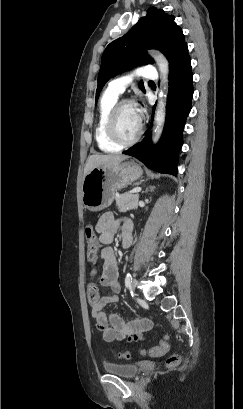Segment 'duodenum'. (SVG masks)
Returning a JSON list of instances; mask_svg holds the SVG:
<instances>
[{"mask_svg":"<svg viewBox=\"0 0 243 409\" xmlns=\"http://www.w3.org/2000/svg\"><path fill=\"white\" fill-rule=\"evenodd\" d=\"M129 238H130L129 233H128V232L124 233V235H123V241H124V242H127V241L129 240Z\"/></svg>","mask_w":243,"mask_h":409,"instance_id":"duodenum-1","label":"duodenum"}]
</instances>
